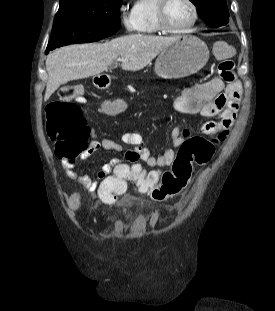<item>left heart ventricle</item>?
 I'll return each mask as SVG.
<instances>
[{"label": "left heart ventricle", "mask_w": 275, "mask_h": 311, "mask_svg": "<svg viewBox=\"0 0 275 311\" xmlns=\"http://www.w3.org/2000/svg\"><path fill=\"white\" fill-rule=\"evenodd\" d=\"M192 19V10L186 0H171L166 13L168 25L173 29L186 26Z\"/></svg>", "instance_id": "b2bd125f"}]
</instances>
